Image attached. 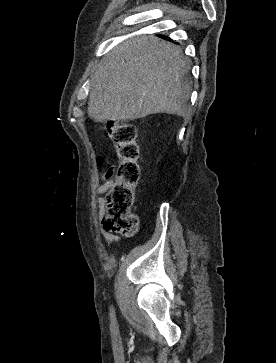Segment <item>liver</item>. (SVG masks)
I'll use <instances>...</instances> for the list:
<instances>
[{
  "instance_id": "6515ba94",
  "label": "liver",
  "mask_w": 276,
  "mask_h": 363,
  "mask_svg": "<svg viewBox=\"0 0 276 363\" xmlns=\"http://www.w3.org/2000/svg\"><path fill=\"white\" fill-rule=\"evenodd\" d=\"M190 62L177 46L154 36L129 39L103 58L88 102L98 122L135 120L155 113L187 116Z\"/></svg>"
}]
</instances>
